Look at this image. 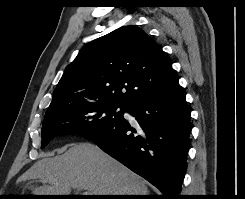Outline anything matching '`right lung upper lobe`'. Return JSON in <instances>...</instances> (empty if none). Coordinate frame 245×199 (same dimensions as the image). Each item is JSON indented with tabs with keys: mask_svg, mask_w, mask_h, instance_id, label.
<instances>
[{
	"mask_svg": "<svg viewBox=\"0 0 245 199\" xmlns=\"http://www.w3.org/2000/svg\"><path fill=\"white\" fill-rule=\"evenodd\" d=\"M178 83L161 46L137 26L121 27L85 45L60 79L45 116L68 106H128Z\"/></svg>",
	"mask_w": 245,
	"mask_h": 199,
	"instance_id": "cb5924a9",
	"label": "right lung upper lobe"
}]
</instances>
